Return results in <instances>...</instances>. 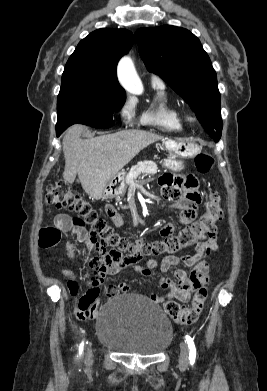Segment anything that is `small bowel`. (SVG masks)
<instances>
[{
	"label": "small bowel",
	"mask_w": 267,
	"mask_h": 391,
	"mask_svg": "<svg viewBox=\"0 0 267 391\" xmlns=\"http://www.w3.org/2000/svg\"><path fill=\"white\" fill-rule=\"evenodd\" d=\"M164 197L173 202V207L179 211L178 221L180 224L193 223L198 215V206L201 203V195L198 190V182L193 176H180L171 172H167L159 180ZM105 213L110 218L112 223L119 227L123 220L119 212L113 205L105 206ZM56 229L63 232H70L76 236L80 242L89 244V233L85 228V224L67 214H60L54 220ZM176 225L167 223L161 229L163 237L172 236ZM218 243L216 236L208 238L206 241L197 245V253L194 255L185 254L181 257L168 256L160 263V269L163 272L170 268L183 264L187 267H192L191 271L187 272L183 269H176L172 277H167L161 280V288L167 291L165 296L152 294L150 300L153 303H160L165 298H175L179 301L186 302L190 299L191 293L208 283L210 276V265L207 262V257L217 251ZM66 250L69 256L75 254V246L72 242L66 244ZM92 270V276L86 281L88 290L83 295L74 312L78 319H92L100 305V286L107 275L118 274L123 268L131 266L133 271L144 276L151 275V269L155 266L153 261L149 262L147 267L140 266L136 263H130L128 258H124L119 251H110L106 254H98L89 262ZM64 275L68 278V288L72 295L78 293V283L75 274L70 269L63 270ZM131 287L121 282L116 286H110L106 290L107 297H113L117 293H129Z\"/></svg>",
	"instance_id": "small-bowel-1"
}]
</instances>
